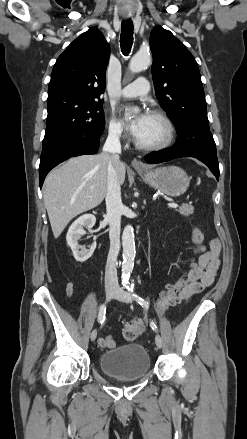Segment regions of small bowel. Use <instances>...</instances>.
Here are the masks:
<instances>
[{"label":"small bowel","instance_id":"c3829d8e","mask_svg":"<svg viewBox=\"0 0 247 439\" xmlns=\"http://www.w3.org/2000/svg\"><path fill=\"white\" fill-rule=\"evenodd\" d=\"M194 254L196 263L187 268L185 283L178 295V300L188 301L194 295L200 293L205 287L210 286L218 274L221 261V243L218 239L211 240L209 246L195 247ZM73 294V284L66 285V296ZM99 345L104 348H112L116 345L113 337L100 338Z\"/></svg>","mask_w":247,"mask_h":439}]
</instances>
